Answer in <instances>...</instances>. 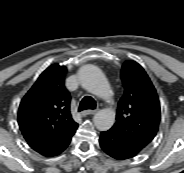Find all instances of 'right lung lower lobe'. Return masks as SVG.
<instances>
[{
	"mask_svg": "<svg viewBox=\"0 0 184 173\" xmlns=\"http://www.w3.org/2000/svg\"><path fill=\"white\" fill-rule=\"evenodd\" d=\"M74 133L75 132H73L67 139H65L56 149L52 150L49 153L44 154L43 156L54 157V156L61 154L68 147Z\"/></svg>",
	"mask_w": 184,
	"mask_h": 173,
	"instance_id": "right-lung-lower-lobe-1",
	"label": "right lung lower lobe"
}]
</instances>
